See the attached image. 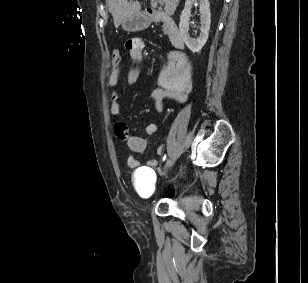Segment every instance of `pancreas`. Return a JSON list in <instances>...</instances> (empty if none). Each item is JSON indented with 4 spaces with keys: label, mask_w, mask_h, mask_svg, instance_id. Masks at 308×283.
<instances>
[{
    "label": "pancreas",
    "mask_w": 308,
    "mask_h": 283,
    "mask_svg": "<svg viewBox=\"0 0 308 283\" xmlns=\"http://www.w3.org/2000/svg\"><path fill=\"white\" fill-rule=\"evenodd\" d=\"M163 31H164V33H166V28L165 27H163Z\"/></svg>",
    "instance_id": "pancreas-1"
}]
</instances>
